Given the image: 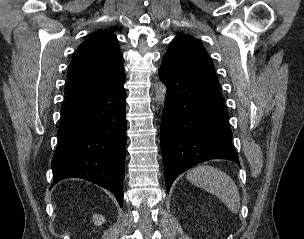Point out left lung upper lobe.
Segmentation results:
<instances>
[{
    "instance_id": "left-lung-upper-lobe-1",
    "label": "left lung upper lobe",
    "mask_w": 304,
    "mask_h": 239,
    "mask_svg": "<svg viewBox=\"0 0 304 239\" xmlns=\"http://www.w3.org/2000/svg\"><path fill=\"white\" fill-rule=\"evenodd\" d=\"M163 58L176 64L188 75L219 87L214 65L206 49L192 36L186 34L176 36Z\"/></svg>"
}]
</instances>
